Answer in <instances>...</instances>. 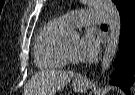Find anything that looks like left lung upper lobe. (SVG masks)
Listing matches in <instances>:
<instances>
[{
	"mask_svg": "<svg viewBox=\"0 0 135 95\" xmlns=\"http://www.w3.org/2000/svg\"><path fill=\"white\" fill-rule=\"evenodd\" d=\"M119 10L120 16L135 6V0H112Z\"/></svg>",
	"mask_w": 135,
	"mask_h": 95,
	"instance_id": "obj_1",
	"label": "left lung upper lobe"
}]
</instances>
